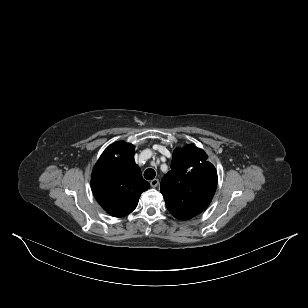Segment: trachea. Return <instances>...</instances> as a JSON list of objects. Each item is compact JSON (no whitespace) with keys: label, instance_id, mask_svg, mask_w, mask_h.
Instances as JSON below:
<instances>
[{"label":"trachea","instance_id":"3493384b","mask_svg":"<svg viewBox=\"0 0 308 308\" xmlns=\"http://www.w3.org/2000/svg\"><path fill=\"white\" fill-rule=\"evenodd\" d=\"M156 175V172L149 168L147 169L145 172H144V178L147 179V180H152Z\"/></svg>","mask_w":308,"mask_h":308}]
</instances>
